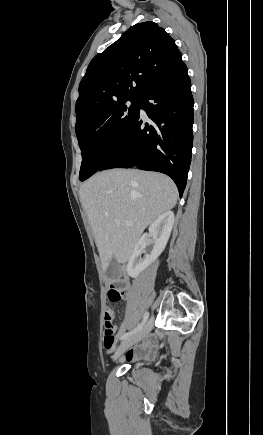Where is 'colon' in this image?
<instances>
[{"instance_id": "colon-1", "label": "colon", "mask_w": 263, "mask_h": 435, "mask_svg": "<svg viewBox=\"0 0 263 435\" xmlns=\"http://www.w3.org/2000/svg\"><path fill=\"white\" fill-rule=\"evenodd\" d=\"M123 292L120 286L110 283L108 289V298L111 302H118L122 299ZM103 348L105 350H114L115 348V336L113 319L109 312H105L104 315V343Z\"/></svg>"}]
</instances>
